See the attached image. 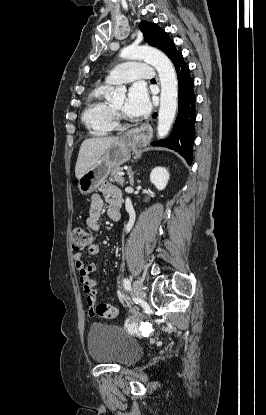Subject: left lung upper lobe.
Wrapping results in <instances>:
<instances>
[{"instance_id": "left-lung-upper-lobe-1", "label": "left lung upper lobe", "mask_w": 266, "mask_h": 415, "mask_svg": "<svg viewBox=\"0 0 266 415\" xmlns=\"http://www.w3.org/2000/svg\"><path fill=\"white\" fill-rule=\"evenodd\" d=\"M139 28L144 35L145 42L162 50L171 61L179 54L168 34L156 24L144 21L139 24Z\"/></svg>"}]
</instances>
